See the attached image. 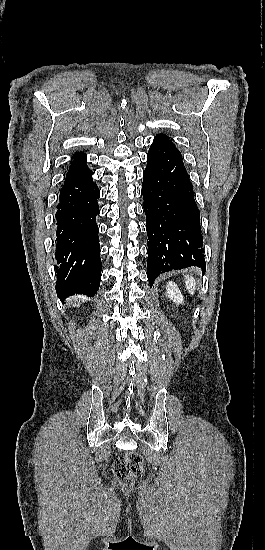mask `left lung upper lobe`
<instances>
[{
	"instance_id": "left-lung-upper-lobe-1",
	"label": "left lung upper lobe",
	"mask_w": 265,
	"mask_h": 550,
	"mask_svg": "<svg viewBox=\"0 0 265 550\" xmlns=\"http://www.w3.org/2000/svg\"><path fill=\"white\" fill-rule=\"evenodd\" d=\"M155 141H158L160 143H163V144H166V145H170L172 147H175V145L173 144V142L169 139L168 136H166L165 134H158L155 139ZM176 148V147H175Z\"/></svg>"
}]
</instances>
